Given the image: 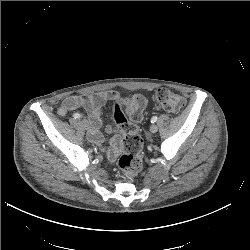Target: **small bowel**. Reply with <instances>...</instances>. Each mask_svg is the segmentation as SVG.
<instances>
[{"label":"small bowel","mask_w":250,"mask_h":250,"mask_svg":"<svg viewBox=\"0 0 250 250\" xmlns=\"http://www.w3.org/2000/svg\"><path fill=\"white\" fill-rule=\"evenodd\" d=\"M120 100V95L114 91H102L87 95H70L66 97L57 110L59 116H65L69 112L82 107L89 116L90 130L88 139L100 145L103 142V136L100 132L101 126V108L107 101ZM116 149L108 150L109 159H114Z\"/></svg>","instance_id":"obj_1"}]
</instances>
